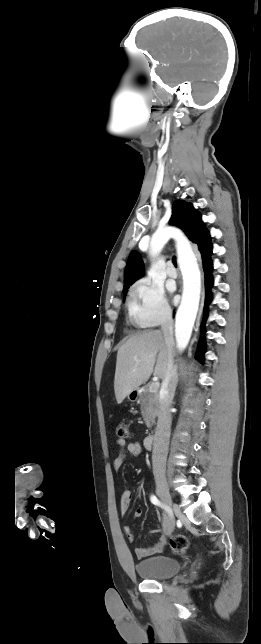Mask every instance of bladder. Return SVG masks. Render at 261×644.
Wrapping results in <instances>:
<instances>
[{"label":"bladder","instance_id":"bladder-1","mask_svg":"<svg viewBox=\"0 0 261 644\" xmlns=\"http://www.w3.org/2000/svg\"><path fill=\"white\" fill-rule=\"evenodd\" d=\"M181 563L168 556H152L135 564L136 573L150 580H161L175 576L181 571Z\"/></svg>","mask_w":261,"mask_h":644}]
</instances>
